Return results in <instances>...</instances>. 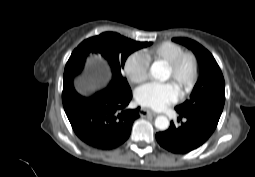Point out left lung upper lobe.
<instances>
[{"mask_svg": "<svg viewBox=\"0 0 255 177\" xmlns=\"http://www.w3.org/2000/svg\"><path fill=\"white\" fill-rule=\"evenodd\" d=\"M191 49L199 62V78L190 99L175 107L182 115L202 116L219 121L225 103L223 74L212 54L196 41L188 38H173Z\"/></svg>", "mask_w": 255, "mask_h": 177, "instance_id": "left-lung-upper-lobe-1", "label": "left lung upper lobe"}]
</instances>
